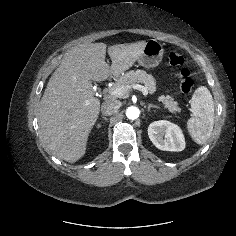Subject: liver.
Here are the masks:
<instances>
[{
  "mask_svg": "<svg viewBox=\"0 0 236 236\" xmlns=\"http://www.w3.org/2000/svg\"><path fill=\"white\" fill-rule=\"evenodd\" d=\"M146 43L108 47L111 66L105 62L107 46L104 43L80 44L65 54L39 104L43 139L59 158L74 163L86 153L87 141L100 111L92 81L123 74L138 60Z\"/></svg>",
  "mask_w": 236,
  "mask_h": 236,
  "instance_id": "1",
  "label": "liver"
}]
</instances>
